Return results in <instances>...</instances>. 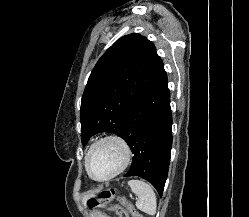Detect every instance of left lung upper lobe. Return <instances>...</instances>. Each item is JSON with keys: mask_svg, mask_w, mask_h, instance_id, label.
<instances>
[{"mask_svg": "<svg viewBox=\"0 0 249 217\" xmlns=\"http://www.w3.org/2000/svg\"><path fill=\"white\" fill-rule=\"evenodd\" d=\"M164 71L155 46L138 33L117 40L92 70L81 100V140L99 132L122 137L126 118Z\"/></svg>", "mask_w": 249, "mask_h": 217, "instance_id": "5c2ea615", "label": "left lung upper lobe"}]
</instances>
